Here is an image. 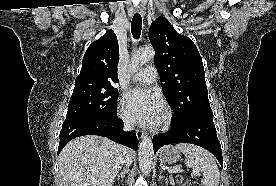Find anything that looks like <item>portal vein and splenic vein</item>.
Segmentation results:
<instances>
[{
	"mask_svg": "<svg viewBox=\"0 0 276 186\" xmlns=\"http://www.w3.org/2000/svg\"><path fill=\"white\" fill-rule=\"evenodd\" d=\"M182 169H173V170H168L170 173H177V172H182ZM199 174V170H195L192 172V175L197 176Z\"/></svg>",
	"mask_w": 276,
	"mask_h": 186,
	"instance_id": "obj_1",
	"label": "portal vein and splenic vein"
}]
</instances>
